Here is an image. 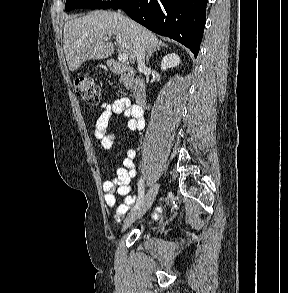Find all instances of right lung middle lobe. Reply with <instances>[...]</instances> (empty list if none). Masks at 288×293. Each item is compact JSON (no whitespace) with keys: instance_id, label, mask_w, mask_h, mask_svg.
Wrapping results in <instances>:
<instances>
[{"instance_id":"dd1d6c3e","label":"right lung middle lobe","mask_w":288,"mask_h":293,"mask_svg":"<svg viewBox=\"0 0 288 293\" xmlns=\"http://www.w3.org/2000/svg\"><path fill=\"white\" fill-rule=\"evenodd\" d=\"M121 0L100 1V0H67L65 10L70 11L76 8L108 9Z\"/></svg>"}]
</instances>
